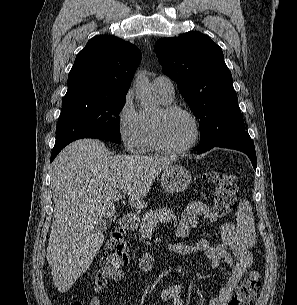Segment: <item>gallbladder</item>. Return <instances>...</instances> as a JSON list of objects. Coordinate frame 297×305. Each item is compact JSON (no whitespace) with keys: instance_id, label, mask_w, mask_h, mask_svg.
Returning a JSON list of instances; mask_svg holds the SVG:
<instances>
[{"instance_id":"bac80fb5","label":"gallbladder","mask_w":297,"mask_h":305,"mask_svg":"<svg viewBox=\"0 0 297 305\" xmlns=\"http://www.w3.org/2000/svg\"><path fill=\"white\" fill-rule=\"evenodd\" d=\"M108 227V223L105 220H101L98 224H97V230L100 233H103Z\"/></svg>"}]
</instances>
